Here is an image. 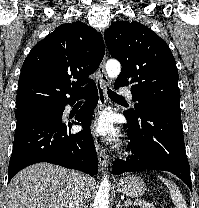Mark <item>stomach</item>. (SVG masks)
<instances>
[{"instance_id":"0dacf381","label":"stomach","mask_w":199,"mask_h":208,"mask_svg":"<svg viewBox=\"0 0 199 208\" xmlns=\"http://www.w3.org/2000/svg\"><path fill=\"white\" fill-rule=\"evenodd\" d=\"M116 189L128 197H141L146 191V185L139 176L128 175L118 180Z\"/></svg>"}]
</instances>
